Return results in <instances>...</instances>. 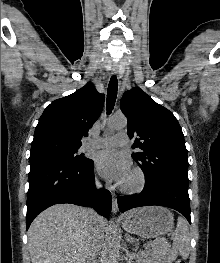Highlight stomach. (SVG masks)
Listing matches in <instances>:
<instances>
[{
    "label": "stomach",
    "mask_w": 220,
    "mask_h": 263,
    "mask_svg": "<svg viewBox=\"0 0 220 263\" xmlns=\"http://www.w3.org/2000/svg\"><path fill=\"white\" fill-rule=\"evenodd\" d=\"M122 227L131 234L142 238L160 237L172 230V213L160 206H147L133 209L123 215Z\"/></svg>",
    "instance_id": "stomach-1"
}]
</instances>
